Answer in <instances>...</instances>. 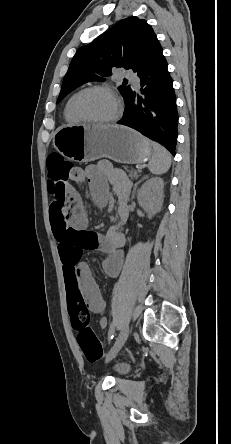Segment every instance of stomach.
I'll list each match as a JSON object with an SVG mask.
<instances>
[{"label": "stomach", "instance_id": "1", "mask_svg": "<svg viewBox=\"0 0 231 444\" xmlns=\"http://www.w3.org/2000/svg\"><path fill=\"white\" fill-rule=\"evenodd\" d=\"M53 146L77 162L109 158L119 163L141 164L152 157L151 142L124 126L70 124L59 127Z\"/></svg>", "mask_w": 231, "mask_h": 444}]
</instances>
